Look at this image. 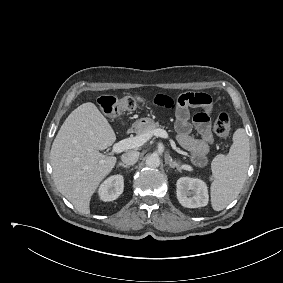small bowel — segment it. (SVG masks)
I'll return each instance as SVG.
<instances>
[{"mask_svg": "<svg viewBox=\"0 0 283 283\" xmlns=\"http://www.w3.org/2000/svg\"><path fill=\"white\" fill-rule=\"evenodd\" d=\"M154 105L174 111L176 115L175 130L179 144L191 155L193 162L203 166L207 161V153L214 143L210 126L211 98L199 92H189L174 99L168 95L157 94L152 99ZM146 106L143 101L140 108ZM201 108L193 117L194 126L200 138L191 135L192 125L189 121V109Z\"/></svg>", "mask_w": 283, "mask_h": 283, "instance_id": "small-bowel-1", "label": "small bowel"}]
</instances>
